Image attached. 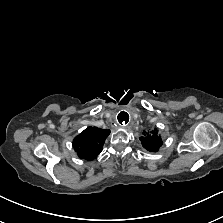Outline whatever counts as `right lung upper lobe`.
<instances>
[{"label": "right lung upper lobe", "mask_w": 223, "mask_h": 223, "mask_svg": "<svg viewBox=\"0 0 223 223\" xmlns=\"http://www.w3.org/2000/svg\"><path fill=\"white\" fill-rule=\"evenodd\" d=\"M110 130L88 127L73 140V148L81 159L93 160L103 149Z\"/></svg>", "instance_id": "right-lung-upper-lobe-1"}]
</instances>
